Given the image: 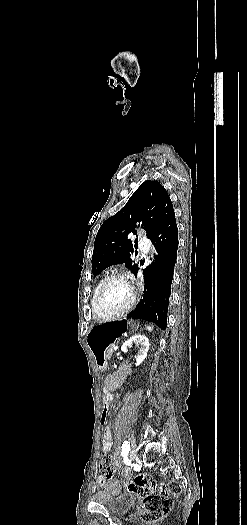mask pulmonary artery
<instances>
[{
	"label": "pulmonary artery",
	"mask_w": 247,
	"mask_h": 525,
	"mask_svg": "<svg viewBox=\"0 0 247 525\" xmlns=\"http://www.w3.org/2000/svg\"><path fill=\"white\" fill-rule=\"evenodd\" d=\"M139 248L141 252L144 254V257H147L146 253H150L151 247L149 245V239L147 236H140V245Z\"/></svg>",
	"instance_id": "e3ab8cb5"
}]
</instances>
